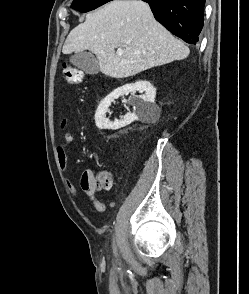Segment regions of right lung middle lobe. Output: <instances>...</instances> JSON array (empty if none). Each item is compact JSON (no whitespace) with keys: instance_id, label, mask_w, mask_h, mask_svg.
I'll use <instances>...</instances> for the list:
<instances>
[{"instance_id":"1","label":"right lung middle lobe","mask_w":249,"mask_h":294,"mask_svg":"<svg viewBox=\"0 0 249 294\" xmlns=\"http://www.w3.org/2000/svg\"><path fill=\"white\" fill-rule=\"evenodd\" d=\"M111 0H73L71 7L80 12H88Z\"/></svg>"}]
</instances>
